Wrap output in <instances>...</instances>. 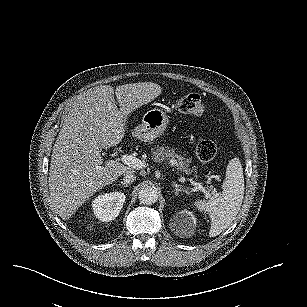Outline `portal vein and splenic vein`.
<instances>
[{"mask_svg":"<svg viewBox=\"0 0 307 307\" xmlns=\"http://www.w3.org/2000/svg\"><path fill=\"white\" fill-rule=\"evenodd\" d=\"M123 161L129 167L136 169V170H144L150 167V164L148 163V161L141 160L131 155L123 156ZM189 182L192 186H195L194 191H200L204 195L209 196L208 191L201 185V183L195 182L193 180H190Z\"/></svg>","mask_w":307,"mask_h":307,"instance_id":"1","label":"portal vein and splenic vein"}]
</instances>
